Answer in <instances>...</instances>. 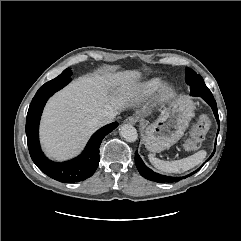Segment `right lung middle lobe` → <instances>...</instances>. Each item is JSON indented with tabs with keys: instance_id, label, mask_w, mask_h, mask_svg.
<instances>
[{
	"instance_id": "right-lung-middle-lobe-1",
	"label": "right lung middle lobe",
	"mask_w": 241,
	"mask_h": 241,
	"mask_svg": "<svg viewBox=\"0 0 241 241\" xmlns=\"http://www.w3.org/2000/svg\"><path fill=\"white\" fill-rule=\"evenodd\" d=\"M71 74L72 72L70 68H67L58 77L45 83L42 87H40L35 96L54 94L71 81Z\"/></svg>"
}]
</instances>
